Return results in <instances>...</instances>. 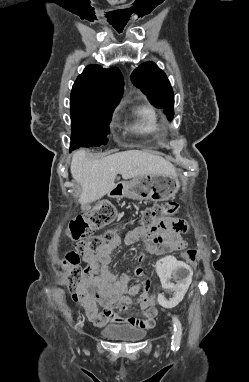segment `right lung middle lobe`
Here are the masks:
<instances>
[{"label":"right lung middle lobe","mask_w":249,"mask_h":382,"mask_svg":"<svg viewBox=\"0 0 249 382\" xmlns=\"http://www.w3.org/2000/svg\"><path fill=\"white\" fill-rule=\"evenodd\" d=\"M113 110L114 107L108 104H90L72 109L70 150L106 144Z\"/></svg>","instance_id":"obj_1"}]
</instances>
